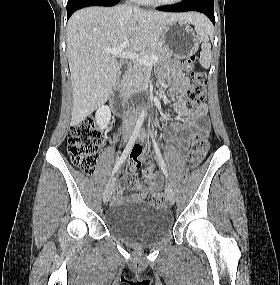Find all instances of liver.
Wrapping results in <instances>:
<instances>
[{"label": "liver", "instance_id": "obj_1", "mask_svg": "<svg viewBox=\"0 0 280 285\" xmlns=\"http://www.w3.org/2000/svg\"><path fill=\"white\" fill-rule=\"evenodd\" d=\"M206 18L197 13H163L117 5L88 7L75 12L67 24V57L73 107L71 125H77L109 98L121 65L105 49L125 41L129 51L157 45L173 21L196 25Z\"/></svg>", "mask_w": 280, "mask_h": 285}]
</instances>
